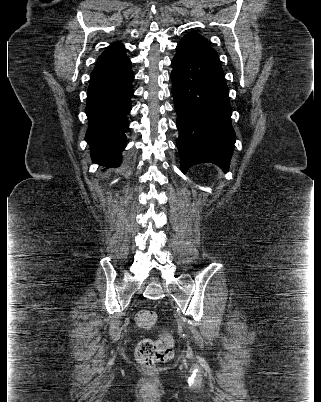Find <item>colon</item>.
I'll return each mask as SVG.
<instances>
[{
    "mask_svg": "<svg viewBox=\"0 0 321 402\" xmlns=\"http://www.w3.org/2000/svg\"><path fill=\"white\" fill-rule=\"evenodd\" d=\"M158 317L154 311L140 310L135 316L136 324L144 329H150L157 323ZM174 340L169 334H164L156 340L143 339L135 349L137 361L148 368L166 362L172 358Z\"/></svg>",
    "mask_w": 321,
    "mask_h": 402,
    "instance_id": "5ec220e1",
    "label": "colon"
}]
</instances>
